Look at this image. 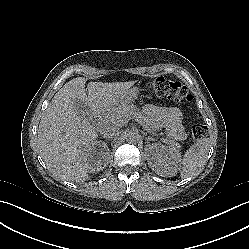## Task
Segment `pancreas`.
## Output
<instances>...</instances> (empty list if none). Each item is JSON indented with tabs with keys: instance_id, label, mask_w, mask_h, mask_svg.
Masks as SVG:
<instances>
[{
	"instance_id": "cf45deb5",
	"label": "pancreas",
	"mask_w": 249,
	"mask_h": 249,
	"mask_svg": "<svg viewBox=\"0 0 249 249\" xmlns=\"http://www.w3.org/2000/svg\"><path fill=\"white\" fill-rule=\"evenodd\" d=\"M122 118H127V117H134V118H141L142 120V124L143 126L151 131L152 133L155 131V124L148 118H146L145 116L141 115L139 109L134 106V105H126L124 106L119 112H118V118L119 117ZM117 118V119H118ZM168 144H170V146L172 147L171 149L175 150V149H179V144L174 142V141H167Z\"/></svg>"
}]
</instances>
